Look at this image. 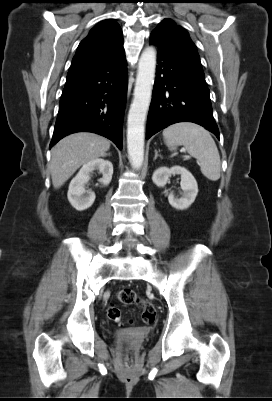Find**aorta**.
Instances as JSON below:
<instances>
[{
  "label": "aorta",
  "mask_w": 272,
  "mask_h": 401,
  "mask_svg": "<svg viewBox=\"0 0 272 401\" xmlns=\"http://www.w3.org/2000/svg\"><path fill=\"white\" fill-rule=\"evenodd\" d=\"M156 71V50L146 48L138 63L133 100L127 120V150L135 169H140L144 160V127L149 109Z\"/></svg>",
  "instance_id": "aorta-1"
}]
</instances>
